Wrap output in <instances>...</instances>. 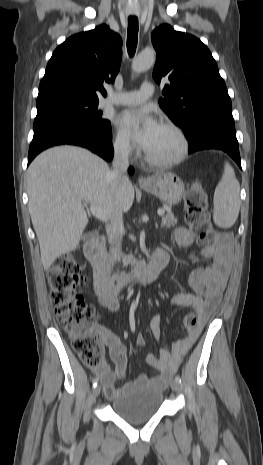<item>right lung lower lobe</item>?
Returning <instances> with one entry per match:
<instances>
[{
	"instance_id": "98d812e1",
	"label": "right lung lower lobe",
	"mask_w": 263,
	"mask_h": 465,
	"mask_svg": "<svg viewBox=\"0 0 263 465\" xmlns=\"http://www.w3.org/2000/svg\"><path fill=\"white\" fill-rule=\"evenodd\" d=\"M111 129L99 132L73 123L50 124L34 130L29 147L28 164L43 150L62 144L77 145L91 150L105 160L113 158ZM133 173V168H129Z\"/></svg>"
}]
</instances>
